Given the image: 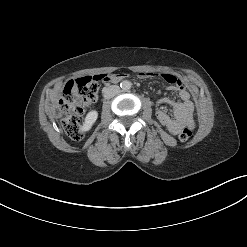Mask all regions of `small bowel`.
<instances>
[{
	"label": "small bowel",
	"instance_id": "small-bowel-1",
	"mask_svg": "<svg viewBox=\"0 0 247 247\" xmlns=\"http://www.w3.org/2000/svg\"><path fill=\"white\" fill-rule=\"evenodd\" d=\"M142 77H158L170 84L169 89L177 92L180 97L179 101L172 100L168 97H162L158 104L170 105L173 108L174 116H169L165 111L158 109L156 117L158 120L173 133L178 134L184 126L194 127L193 111L194 105L190 100V93L186 90L182 81L171 73H142ZM124 74H113L107 76L105 82H117L124 78Z\"/></svg>",
	"mask_w": 247,
	"mask_h": 247
}]
</instances>
